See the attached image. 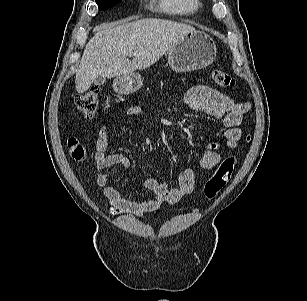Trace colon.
<instances>
[{
  "label": "colon",
  "instance_id": "obj_1",
  "mask_svg": "<svg viewBox=\"0 0 307 301\" xmlns=\"http://www.w3.org/2000/svg\"><path fill=\"white\" fill-rule=\"evenodd\" d=\"M212 79L222 87H232L235 83L234 78L229 73L220 69L212 71ZM75 103L84 118L93 119L97 114L99 90L94 88L80 93L76 97ZM69 147L72 157L75 160L81 161L84 158L86 149L79 141L71 139L69 141ZM236 163L237 159L235 156H228L221 161L214 174L204 185L203 193L207 199H213L220 193L230 179Z\"/></svg>",
  "mask_w": 307,
  "mask_h": 301
}]
</instances>
